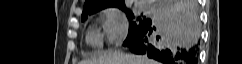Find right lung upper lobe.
<instances>
[{
    "instance_id": "1",
    "label": "right lung upper lobe",
    "mask_w": 242,
    "mask_h": 64,
    "mask_svg": "<svg viewBox=\"0 0 242 64\" xmlns=\"http://www.w3.org/2000/svg\"><path fill=\"white\" fill-rule=\"evenodd\" d=\"M106 7H118L120 9H127L124 0H86L82 15L95 13Z\"/></svg>"
}]
</instances>
